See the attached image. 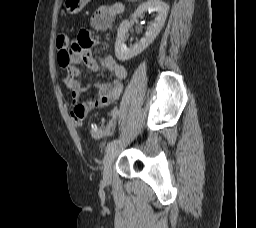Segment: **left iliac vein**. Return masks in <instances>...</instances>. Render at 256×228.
Returning a JSON list of instances; mask_svg holds the SVG:
<instances>
[{
	"mask_svg": "<svg viewBox=\"0 0 256 228\" xmlns=\"http://www.w3.org/2000/svg\"><path fill=\"white\" fill-rule=\"evenodd\" d=\"M118 148H119V144L117 143L116 145H114L107 151V153L103 159V165H104L103 183L104 184H109L111 182L112 163L118 153Z\"/></svg>",
	"mask_w": 256,
	"mask_h": 228,
	"instance_id": "1",
	"label": "left iliac vein"
}]
</instances>
